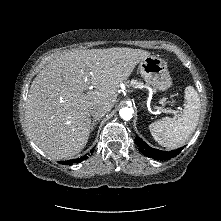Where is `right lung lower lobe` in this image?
Masks as SVG:
<instances>
[{
  "label": "right lung lower lobe",
  "mask_w": 221,
  "mask_h": 221,
  "mask_svg": "<svg viewBox=\"0 0 221 221\" xmlns=\"http://www.w3.org/2000/svg\"><path fill=\"white\" fill-rule=\"evenodd\" d=\"M87 158H88V156L85 155V156H82V157L77 158V159H72V160H67V161H60L59 163L67 164V165H73V164H76V163H80V162H82L83 160H85Z\"/></svg>",
  "instance_id": "obj_1"
}]
</instances>
